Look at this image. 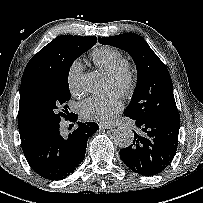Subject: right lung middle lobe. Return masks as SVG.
<instances>
[{"mask_svg": "<svg viewBox=\"0 0 203 203\" xmlns=\"http://www.w3.org/2000/svg\"><path fill=\"white\" fill-rule=\"evenodd\" d=\"M93 45L74 47L59 57L48 69L32 75L27 82V103L41 124L47 129L67 119L70 99L68 74L74 60Z\"/></svg>", "mask_w": 203, "mask_h": 203, "instance_id": "obj_1", "label": "right lung middle lobe"}]
</instances>
